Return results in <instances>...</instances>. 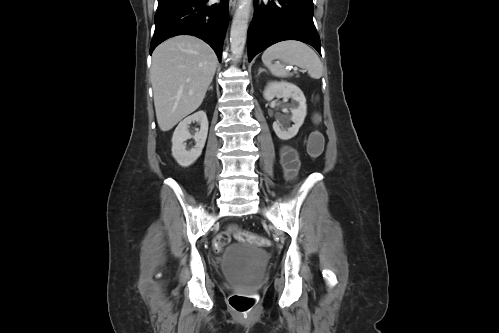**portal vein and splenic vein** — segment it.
I'll use <instances>...</instances> for the list:
<instances>
[{
	"instance_id": "portal-vein-and-splenic-vein-1",
	"label": "portal vein and splenic vein",
	"mask_w": 499,
	"mask_h": 333,
	"mask_svg": "<svg viewBox=\"0 0 499 333\" xmlns=\"http://www.w3.org/2000/svg\"><path fill=\"white\" fill-rule=\"evenodd\" d=\"M292 68H293L292 66H288V67H287V69H289V70H291ZM293 69H294V70H298V68H297V67H294Z\"/></svg>"
}]
</instances>
